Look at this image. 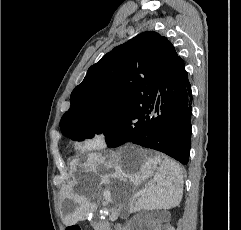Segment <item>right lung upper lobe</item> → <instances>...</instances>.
<instances>
[{
  "mask_svg": "<svg viewBox=\"0 0 241 230\" xmlns=\"http://www.w3.org/2000/svg\"><path fill=\"white\" fill-rule=\"evenodd\" d=\"M178 59L167 38L153 31L115 47L88 69L71 93V107L60 121L62 133L80 122L105 118L113 109L148 102Z\"/></svg>",
  "mask_w": 241,
  "mask_h": 230,
  "instance_id": "right-lung-upper-lobe-1",
  "label": "right lung upper lobe"
}]
</instances>
